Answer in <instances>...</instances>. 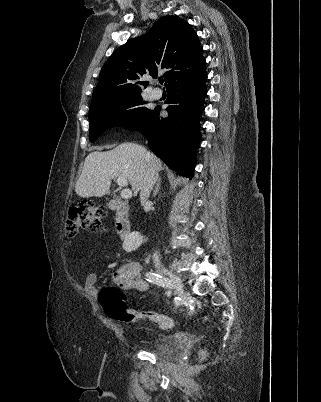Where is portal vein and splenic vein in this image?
Listing matches in <instances>:
<instances>
[{
    "label": "portal vein and splenic vein",
    "mask_w": 321,
    "mask_h": 402,
    "mask_svg": "<svg viewBox=\"0 0 321 402\" xmlns=\"http://www.w3.org/2000/svg\"><path fill=\"white\" fill-rule=\"evenodd\" d=\"M117 184H118L120 187H126L127 184H128V181H127L126 178L119 177V178L117 179ZM121 197L124 198V199H129V198H131V197H132V191H131L129 188H124V189L121 191Z\"/></svg>",
    "instance_id": "18ae733b"
}]
</instances>
